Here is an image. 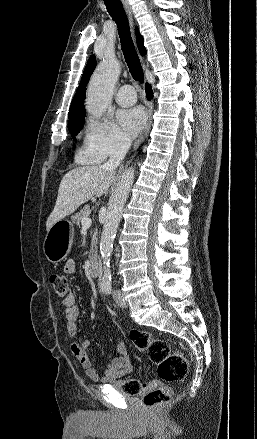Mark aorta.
<instances>
[{"label":"aorta","instance_id":"aorta-1","mask_svg":"<svg viewBox=\"0 0 257 439\" xmlns=\"http://www.w3.org/2000/svg\"><path fill=\"white\" fill-rule=\"evenodd\" d=\"M121 71L120 63L109 53L93 75L88 87L86 110L95 117L106 111L111 101L112 91ZM134 180V169H127L113 191L100 239V254L103 262L102 285L111 283L110 256L117 228L122 218L123 208Z\"/></svg>","mask_w":257,"mask_h":439}]
</instances>
